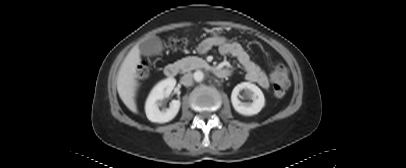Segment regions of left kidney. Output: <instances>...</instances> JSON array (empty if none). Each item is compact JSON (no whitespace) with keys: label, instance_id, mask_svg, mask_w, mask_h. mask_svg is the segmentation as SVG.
<instances>
[{"label":"left kidney","instance_id":"obj_1","mask_svg":"<svg viewBox=\"0 0 406 168\" xmlns=\"http://www.w3.org/2000/svg\"><path fill=\"white\" fill-rule=\"evenodd\" d=\"M244 91V95L253 100V102H241L238 99L240 92ZM231 102L234 109L242 115L252 116L258 114L265 106V98L261 89L250 82H242L236 85L231 94Z\"/></svg>","mask_w":406,"mask_h":168}]
</instances>
